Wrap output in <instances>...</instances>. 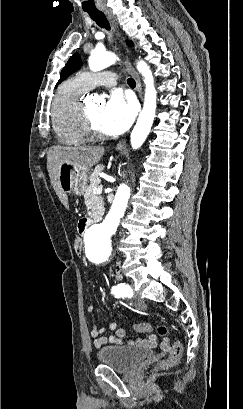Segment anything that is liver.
<instances>
[{"instance_id": "1", "label": "liver", "mask_w": 243, "mask_h": 409, "mask_svg": "<svg viewBox=\"0 0 243 409\" xmlns=\"http://www.w3.org/2000/svg\"><path fill=\"white\" fill-rule=\"evenodd\" d=\"M105 152L102 146L62 147L52 146L47 153V169L51 184L61 203L68 208L67 195L59 186V167L63 162L71 163L75 170H88L98 164Z\"/></svg>"}]
</instances>
